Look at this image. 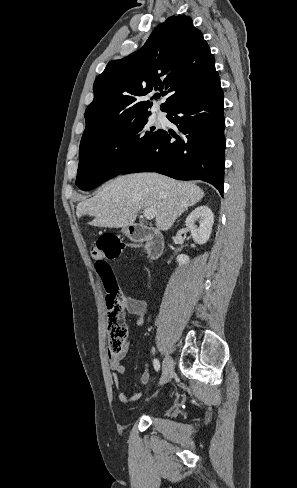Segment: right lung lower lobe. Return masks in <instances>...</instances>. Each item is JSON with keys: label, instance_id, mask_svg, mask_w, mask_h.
Instances as JSON below:
<instances>
[{"label": "right lung lower lobe", "instance_id": "right-lung-lower-lobe-1", "mask_svg": "<svg viewBox=\"0 0 297 488\" xmlns=\"http://www.w3.org/2000/svg\"><path fill=\"white\" fill-rule=\"evenodd\" d=\"M220 78L181 100L167 115L178 131L161 130L121 174L157 172L178 180H203L223 196L225 120Z\"/></svg>", "mask_w": 297, "mask_h": 488}]
</instances>
